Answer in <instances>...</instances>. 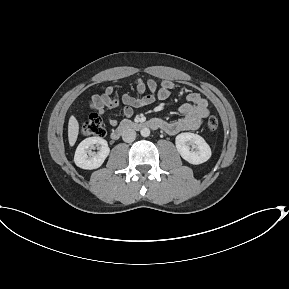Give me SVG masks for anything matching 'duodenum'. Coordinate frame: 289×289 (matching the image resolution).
Instances as JSON below:
<instances>
[{
	"instance_id": "duodenum-1",
	"label": "duodenum",
	"mask_w": 289,
	"mask_h": 289,
	"mask_svg": "<svg viewBox=\"0 0 289 289\" xmlns=\"http://www.w3.org/2000/svg\"><path fill=\"white\" fill-rule=\"evenodd\" d=\"M142 128L159 129L160 122L156 119L148 120L145 122L125 120L112 131L111 138L117 140L128 131L140 130Z\"/></svg>"
}]
</instances>
